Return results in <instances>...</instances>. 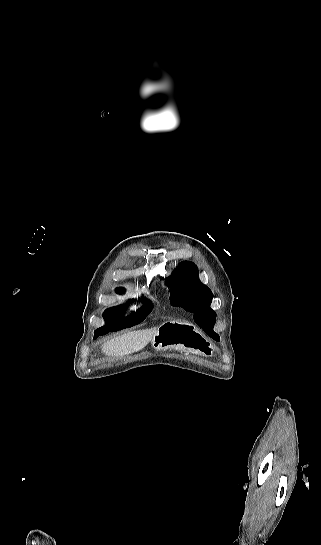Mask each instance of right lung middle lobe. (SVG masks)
Segmentation results:
<instances>
[{"label":"right lung middle lobe","mask_w":321,"mask_h":545,"mask_svg":"<svg viewBox=\"0 0 321 545\" xmlns=\"http://www.w3.org/2000/svg\"><path fill=\"white\" fill-rule=\"evenodd\" d=\"M116 291L118 293H123V290L121 289H117ZM151 309H152V305L149 302H145L142 308H140L137 312L132 313L131 316L123 318L120 322H118V320L122 317L113 318L111 316L104 315L107 324L101 328L108 331H113V330L115 331L119 327L123 329L126 327L134 326L142 322L146 318V316L151 312Z\"/></svg>","instance_id":"dd1d6c3e"}]
</instances>
